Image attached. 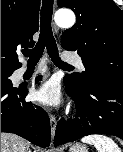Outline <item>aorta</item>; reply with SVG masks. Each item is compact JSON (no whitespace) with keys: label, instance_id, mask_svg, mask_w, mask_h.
Returning <instances> with one entry per match:
<instances>
[{"label":"aorta","instance_id":"obj_1","mask_svg":"<svg viewBox=\"0 0 123 152\" xmlns=\"http://www.w3.org/2000/svg\"><path fill=\"white\" fill-rule=\"evenodd\" d=\"M55 22L62 28L72 27L75 23V15L70 10H60L55 14Z\"/></svg>","mask_w":123,"mask_h":152}]
</instances>
